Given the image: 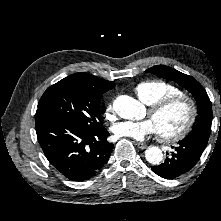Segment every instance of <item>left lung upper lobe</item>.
<instances>
[{
  "label": "left lung upper lobe",
  "instance_id": "1",
  "mask_svg": "<svg viewBox=\"0 0 221 221\" xmlns=\"http://www.w3.org/2000/svg\"><path fill=\"white\" fill-rule=\"evenodd\" d=\"M147 73L175 81L187 89L195 98L198 106V116L190 134L199 131H211L212 106L205 89L192 76L183 74L169 66L157 65L146 70Z\"/></svg>",
  "mask_w": 221,
  "mask_h": 221
}]
</instances>
